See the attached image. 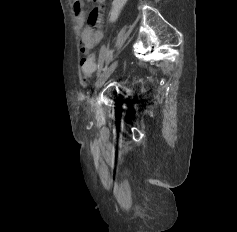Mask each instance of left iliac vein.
<instances>
[{"label":"left iliac vein","mask_w":237,"mask_h":232,"mask_svg":"<svg viewBox=\"0 0 237 232\" xmlns=\"http://www.w3.org/2000/svg\"><path fill=\"white\" fill-rule=\"evenodd\" d=\"M118 65V60H116L115 62H113L108 68H106L101 75L99 76V78L96 81V88H100L103 86V84L106 82V80L110 77V75L114 72V70L116 69Z\"/></svg>","instance_id":"1"}]
</instances>
